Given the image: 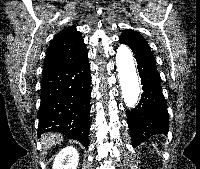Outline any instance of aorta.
Here are the masks:
<instances>
[{"label":"aorta","mask_w":200,"mask_h":169,"mask_svg":"<svg viewBox=\"0 0 200 169\" xmlns=\"http://www.w3.org/2000/svg\"><path fill=\"white\" fill-rule=\"evenodd\" d=\"M116 65L124 102L129 108H134L138 102L140 86L133 54L128 46L122 44L118 47Z\"/></svg>","instance_id":"obj_1"}]
</instances>
